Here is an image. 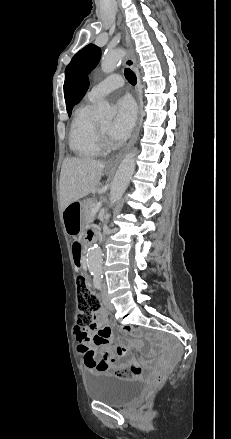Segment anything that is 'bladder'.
I'll list each match as a JSON object with an SVG mask.
<instances>
[{
  "label": "bladder",
  "mask_w": 231,
  "mask_h": 439,
  "mask_svg": "<svg viewBox=\"0 0 231 439\" xmlns=\"http://www.w3.org/2000/svg\"><path fill=\"white\" fill-rule=\"evenodd\" d=\"M86 388L91 400L123 406L141 393L143 383L136 379L119 378L107 370H95L87 376Z\"/></svg>",
  "instance_id": "31cf9c89"
}]
</instances>
